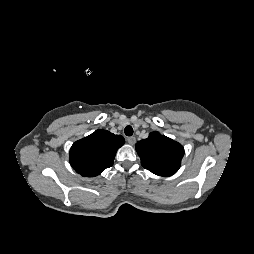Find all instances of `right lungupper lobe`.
<instances>
[{"mask_svg": "<svg viewBox=\"0 0 254 254\" xmlns=\"http://www.w3.org/2000/svg\"><path fill=\"white\" fill-rule=\"evenodd\" d=\"M124 142L123 136L98 129L73 143L69 153L70 164L82 176H97L113 165L115 154Z\"/></svg>", "mask_w": 254, "mask_h": 254, "instance_id": "right-lung-upper-lobe-1", "label": "right lung upper lobe"}]
</instances>
